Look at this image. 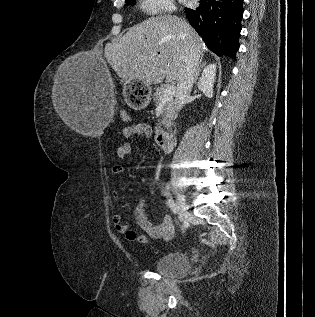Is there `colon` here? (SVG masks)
<instances>
[{"instance_id":"5ec220e1","label":"colon","mask_w":315,"mask_h":317,"mask_svg":"<svg viewBox=\"0 0 315 317\" xmlns=\"http://www.w3.org/2000/svg\"><path fill=\"white\" fill-rule=\"evenodd\" d=\"M122 116L125 120H129V117L127 116L125 111L122 112Z\"/></svg>"}]
</instances>
